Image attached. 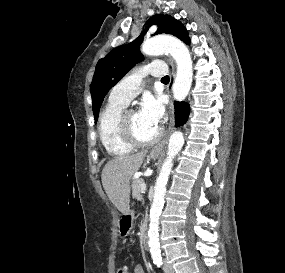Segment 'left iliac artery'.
Instances as JSON below:
<instances>
[{
	"instance_id": "1",
	"label": "left iliac artery",
	"mask_w": 285,
	"mask_h": 273,
	"mask_svg": "<svg viewBox=\"0 0 285 273\" xmlns=\"http://www.w3.org/2000/svg\"><path fill=\"white\" fill-rule=\"evenodd\" d=\"M152 258H153L154 264L157 267H161L162 266L163 263H162V257H161L160 254L159 255H153Z\"/></svg>"
}]
</instances>
